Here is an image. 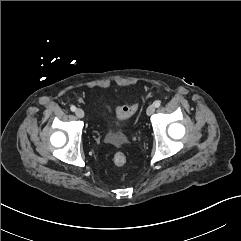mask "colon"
Segmentation results:
<instances>
[{"mask_svg": "<svg viewBox=\"0 0 241 241\" xmlns=\"http://www.w3.org/2000/svg\"><path fill=\"white\" fill-rule=\"evenodd\" d=\"M137 108V104L120 106L116 109V114L121 119H127L136 112ZM113 162L116 166H124L127 162V157L124 153L117 152L114 155Z\"/></svg>", "mask_w": 241, "mask_h": 241, "instance_id": "obj_1", "label": "colon"}]
</instances>
